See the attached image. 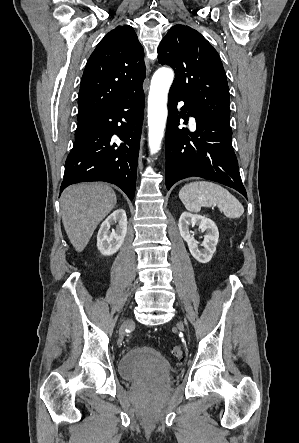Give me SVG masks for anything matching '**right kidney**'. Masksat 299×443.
<instances>
[{
	"label": "right kidney",
	"mask_w": 299,
	"mask_h": 443,
	"mask_svg": "<svg viewBox=\"0 0 299 443\" xmlns=\"http://www.w3.org/2000/svg\"><path fill=\"white\" fill-rule=\"evenodd\" d=\"M116 225L115 230L111 226ZM127 233V216L123 209L115 210L101 224L97 234L98 250L105 256L116 253L122 246Z\"/></svg>",
	"instance_id": "obj_1"
}]
</instances>
